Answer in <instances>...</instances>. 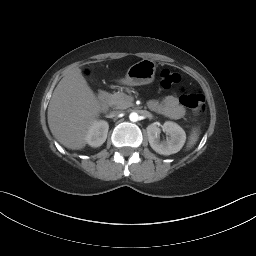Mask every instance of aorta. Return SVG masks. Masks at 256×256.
<instances>
[{
  "instance_id": "762f6f07",
  "label": "aorta",
  "mask_w": 256,
  "mask_h": 256,
  "mask_svg": "<svg viewBox=\"0 0 256 256\" xmlns=\"http://www.w3.org/2000/svg\"><path fill=\"white\" fill-rule=\"evenodd\" d=\"M129 119L132 122H137L139 120V115L136 112H132L129 115Z\"/></svg>"
}]
</instances>
